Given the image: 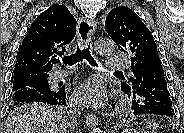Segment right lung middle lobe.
<instances>
[{
    "label": "right lung middle lobe",
    "mask_w": 184,
    "mask_h": 133,
    "mask_svg": "<svg viewBox=\"0 0 184 133\" xmlns=\"http://www.w3.org/2000/svg\"><path fill=\"white\" fill-rule=\"evenodd\" d=\"M48 76L49 75H37L31 73H23L14 75V82H13V92L18 91L26 86H31L39 91L48 93L54 91L53 89L49 88L48 84ZM27 104H11L9 106L12 110L18 111L23 109Z\"/></svg>",
    "instance_id": "1"
}]
</instances>
